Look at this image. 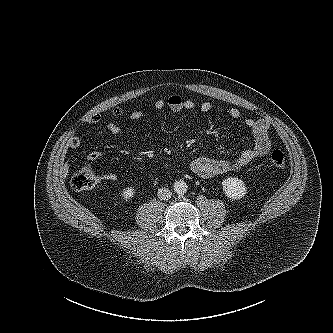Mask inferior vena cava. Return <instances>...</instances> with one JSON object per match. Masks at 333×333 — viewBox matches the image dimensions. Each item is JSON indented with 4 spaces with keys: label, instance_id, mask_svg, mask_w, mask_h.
<instances>
[{
    "label": "inferior vena cava",
    "instance_id": "1",
    "mask_svg": "<svg viewBox=\"0 0 333 333\" xmlns=\"http://www.w3.org/2000/svg\"><path fill=\"white\" fill-rule=\"evenodd\" d=\"M157 196L160 200L167 201L171 198L172 192L168 188L158 189Z\"/></svg>",
    "mask_w": 333,
    "mask_h": 333
}]
</instances>
